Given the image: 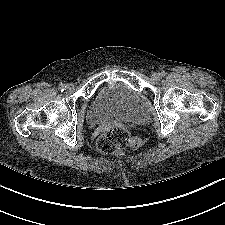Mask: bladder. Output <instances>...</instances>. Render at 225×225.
Returning <instances> with one entry per match:
<instances>
[{"label":"bladder","instance_id":"31cf9c89","mask_svg":"<svg viewBox=\"0 0 225 225\" xmlns=\"http://www.w3.org/2000/svg\"><path fill=\"white\" fill-rule=\"evenodd\" d=\"M86 119L91 126L111 121L144 124L149 120V111L136 92L122 83H113L95 95Z\"/></svg>","mask_w":225,"mask_h":225}]
</instances>
